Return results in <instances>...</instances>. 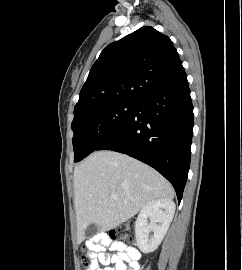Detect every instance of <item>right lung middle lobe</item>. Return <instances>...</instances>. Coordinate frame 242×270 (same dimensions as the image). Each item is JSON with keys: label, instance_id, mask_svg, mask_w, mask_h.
<instances>
[{"label": "right lung middle lobe", "instance_id": "right-lung-middle-lobe-1", "mask_svg": "<svg viewBox=\"0 0 242 270\" xmlns=\"http://www.w3.org/2000/svg\"><path fill=\"white\" fill-rule=\"evenodd\" d=\"M136 101H113L75 115L71 124L74 162L84 159L113 136L134 110Z\"/></svg>", "mask_w": 242, "mask_h": 270}]
</instances>
